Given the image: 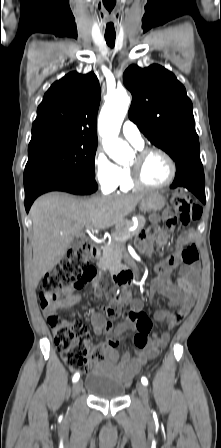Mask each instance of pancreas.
Segmentation results:
<instances>
[{"mask_svg": "<svg viewBox=\"0 0 221 448\" xmlns=\"http://www.w3.org/2000/svg\"><path fill=\"white\" fill-rule=\"evenodd\" d=\"M137 219L138 227L135 231H117L112 234L111 242L103 247V255L99 259V266L103 270H108L113 273L120 268L121 260L125 254L126 240L139 233L145 225V218L143 216H138ZM127 226L128 223L125 224L124 228ZM126 235H128V238H125Z\"/></svg>", "mask_w": 221, "mask_h": 448, "instance_id": "pancreas-1", "label": "pancreas"}]
</instances>
